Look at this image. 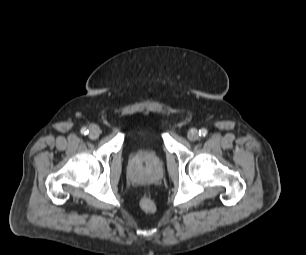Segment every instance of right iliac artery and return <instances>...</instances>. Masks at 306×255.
Returning <instances> with one entry per match:
<instances>
[{
	"instance_id": "right-iliac-artery-1",
	"label": "right iliac artery",
	"mask_w": 306,
	"mask_h": 255,
	"mask_svg": "<svg viewBox=\"0 0 306 255\" xmlns=\"http://www.w3.org/2000/svg\"><path fill=\"white\" fill-rule=\"evenodd\" d=\"M88 132H89L88 129L85 128V127L81 129V133H82L83 135L88 134Z\"/></svg>"
}]
</instances>
